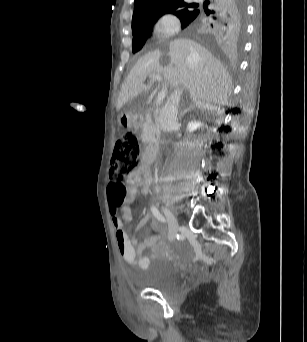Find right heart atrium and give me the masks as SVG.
<instances>
[{"instance_id": "1", "label": "right heart atrium", "mask_w": 307, "mask_h": 342, "mask_svg": "<svg viewBox=\"0 0 307 342\" xmlns=\"http://www.w3.org/2000/svg\"><path fill=\"white\" fill-rule=\"evenodd\" d=\"M180 29L181 23L175 15L162 13L150 24L148 37L151 40L166 41L177 35Z\"/></svg>"}]
</instances>
